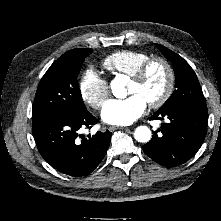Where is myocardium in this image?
<instances>
[{
  "label": "myocardium",
  "instance_id": "f54148a6",
  "mask_svg": "<svg viewBox=\"0 0 221 221\" xmlns=\"http://www.w3.org/2000/svg\"><path fill=\"white\" fill-rule=\"evenodd\" d=\"M155 63H159L164 67V69L167 73V83H166V87H165L163 93L161 94V96L158 97L156 100L148 102V105L151 108L161 107L171 97V95L174 91L175 81H176L175 71H174L173 66L171 65V63L167 59H165L163 57H159V56L150 57L146 61H144L135 70V72L130 76L131 81H133L135 83L142 82L143 79L145 78L148 70L150 69V67Z\"/></svg>",
  "mask_w": 221,
  "mask_h": 221
}]
</instances>
